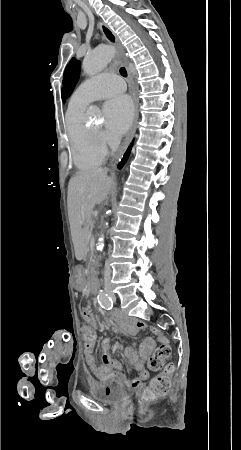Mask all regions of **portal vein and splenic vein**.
<instances>
[{
	"mask_svg": "<svg viewBox=\"0 0 241 450\" xmlns=\"http://www.w3.org/2000/svg\"><path fill=\"white\" fill-rule=\"evenodd\" d=\"M88 236H89V238H90V236H91V233H88Z\"/></svg>",
	"mask_w": 241,
	"mask_h": 450,
	"instance_id": "portal-vein-and-splenic-vein-1",
	"label": "portal vein and splenic vein"
}]
</instances>
